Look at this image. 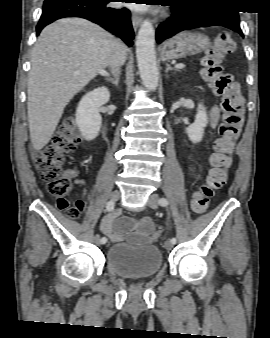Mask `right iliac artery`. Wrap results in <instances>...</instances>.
I'll use <instances>...</instances> for the list:
<instances>
[{"mask_svg":"<svg viewBox=\"0 0 270 338\" xmlns=\"http://www.w3.org/2000/svg\"><path fill=\"white\" fill-rule=\"evenodd\" d=\"M114 206H115L114 201H112V200L109 201V202L107 203V206H106L107 211H112V210L114 209ZM100 242H101L102 244H105V243L107 242L106 237H102L101 240H100Z\"/></svg>","mask_w":270,"mask_h":338,"instance_id":"82829eb1","label":"right iliac artery"}]
</instances>
